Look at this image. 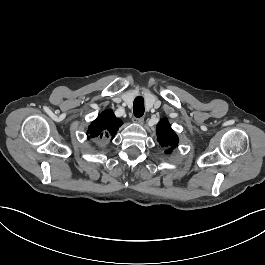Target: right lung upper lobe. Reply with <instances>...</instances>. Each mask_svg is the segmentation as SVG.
Wrapping results in <instances>:
<instances>
[{"mask_svg":"<svg viewBox=\"0 0 265 265\" xmlns=\"http://www.w3.org/2000/svg\"><path fill=\"white\" fill-rule=\"evenodd\" d=\"M122 121L114 115L112 110L102 112L89 126V138L106 137L111 140L115 137Z\"/></svg>","mask_w":265,"mask_h":265,"instance_id":"right-lung-upper-lobe-1","label":"right lung upper lobe"}]
</instances>
